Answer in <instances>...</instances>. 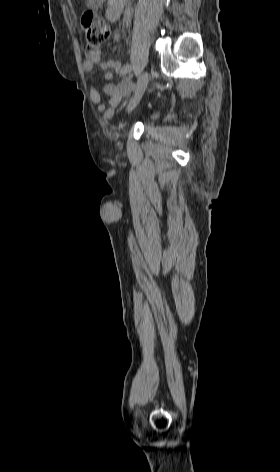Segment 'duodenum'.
<instances>
[{
  "label": "duodenum",
  "instance_id": "410a0bca",
  "mask_svg": "<svg viewBox=\"0 0 280 472\" xmlns=\"http://www.w3.org/2000/svg\"><path fill=\"white\" fill-rule=\"evenodd\" d=\"M126 1L127 0H110L109 6L106 12L107 19L110 22H114L120 17L124 9V6L126 4Z\"/></svg>",
  "mask_w": 280,
  "mask_h": 472
}]
</instances>
